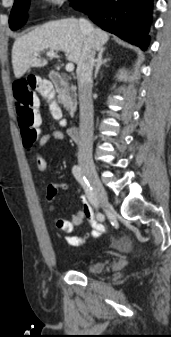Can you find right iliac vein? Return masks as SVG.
<instances>
[{
	"label": "right iliac vein",
	"mask_w": 171,
	"mask_h": 337,
	"mask_svg": "<svg viewBox=\"0 0 171 337\" xmlns=\"http://www.w3.org/2000/svg\"><path fill=\"white\" fill-rule=\"evenodd\" d=\"M81 166H82L84 174L87 176V178L89 179L92 185V188L94 190V193H95V196L98 202L102 205L104 209L109 210L110 204L108 201V196L105 191V188L100 182V179L97 175L95 167L92 165H88L86 163H82Z\"/></svg>",
	"instance_id": "obj_1"
}]
</instances>
